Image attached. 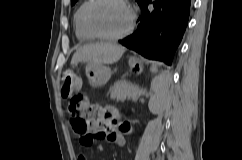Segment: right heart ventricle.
<instances>
[{
	"label": "right heart ventricle",
	"instance_id": "e07e8e85",
	"mask_svg": "<svg viewBox=\"0 0 242 160\" xmlns=\"http://www.w3.org/2000/svg\"><path fill=\"white\" fill-rule=\"evenodd\" d=\"M90 0H82L78 8L76 9L73 17L75 35L80 42H88L96 39L85 27L84 24V12L89 4Z\"/></svg>",
	"mask_w": 242,
	"mask_h": 160
}]
</instances>
